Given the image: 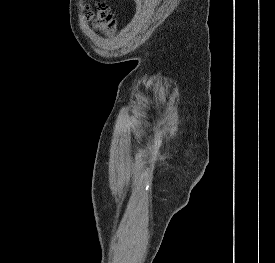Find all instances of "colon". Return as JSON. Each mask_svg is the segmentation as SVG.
Listing matches in <instances>:
<instances>
[{"label": "colon", "instance_id": "colon-1", "mask_svg": "<svg viewBox=\"0 0 275 263\" xmlns=\"http://www.w3.org/2000/svg\"><path fill=\"white\" fill-rule=\"evenodd\" d=\"M88 19L95 22V29L101 34L112 31L115 23L106 3H101L95 11L90 12Z\"/></svg>", "mask_w": 275, "mask_h": 263}]
</instances>
